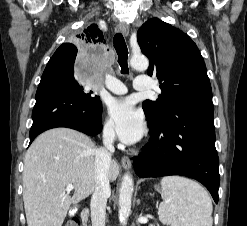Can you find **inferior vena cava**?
Here are the masks:
<instances>
[{
    "label": "inferior vena cava",
    "mask_w": 247,
    "mask_h": 226,
    "mask_svg": "<svg viewBox=\"0 0 247 226\" xmlns=\"http://www.w3.org/2000/svg\"><path fill=\"white\" fill-rule=\"evenodd\" d=\"M115 132L111 125L103 129V145L95 152V189L91 198L92 226H105L107 198L111 194L108 171L114 153Z\"/></svg>",
    "instance_id": "inferior-vena-cava-1"
}]
</instances>
